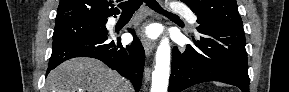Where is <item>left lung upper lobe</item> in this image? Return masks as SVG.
I'll return each instance as SVG.
<instances>
[{"label":"left lung upper lobe","instance_id":"1","mask_svg":"<svg viewBox=\"0 0 289 92\" xmlns=\"http://www.w3.org/2000/svg\"><path fill=\"white\" fill-rule=\"evenodd\" d=\"M197 15L199 24H219L243 29L236 0H181Z\"/></svg>","mask_w":289,"mask_h":92}]
</instances>
